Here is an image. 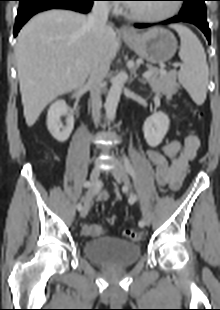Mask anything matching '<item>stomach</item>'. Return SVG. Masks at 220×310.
<instances>
[{
    "mask_svg": "<svg viewBox=\"0 0 220 310\" xmlns=\"http://www.w3.org/2000/svg\"><path fill=\"white\" fill-rule=\"evenodd\" d=\"M123 40L139 57L151 64H160L170 60L177 49L175 36L163 28L134 33L132 37H123Z\"/></svg>",
    "mask_w": 220,
    "mask_h": 310,
    "instance_id": "1",
    "label": "stomach"
}]
</instances>
